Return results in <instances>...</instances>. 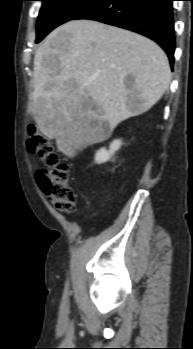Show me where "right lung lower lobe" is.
Returning a JSON list of instances; mask_svg holds the SVG:
<instances>
[{
    "label": "right lung lower lobe",
    "mask_w": 193,
    "mask_h": 349,
    "mask_svg": "<svg viewBox=\"0 0 193 349\" xmlns=\"http://www.w3.org/2000/svg\"><path fill=\"white\" fill-rule=\"evenodd\" d=\"M174 0H96L74 19H89L142 34L157 42L174 64Z\"/></svg>",
    "instance_id": "right-lung-lower-lobe-1"
}]
</instances>
